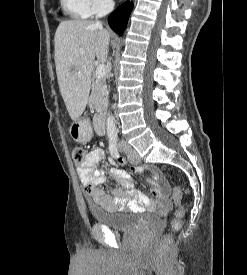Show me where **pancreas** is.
Masks as SVG:
<instances>
[{
    "label": "pancreas",
    "mask_w": 247,
    "mask_h": 275,
    "mask_svg": "<svg viewBox=\"0 0 247 275\" xmlns=\"http://www.w3.org/2000/svg\"><path fill=\"white\" fill-rule=\"evenodd\" d=\"M89 105L97 113H103L108 106V90L104 78L96 79L92 85V92L89 97Z\"/></svg>",
    "instance_id": "cf45deb5"
}]
</instances>
